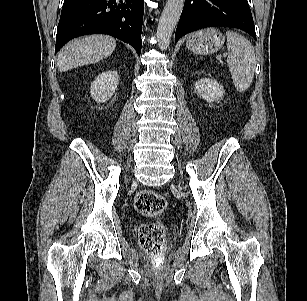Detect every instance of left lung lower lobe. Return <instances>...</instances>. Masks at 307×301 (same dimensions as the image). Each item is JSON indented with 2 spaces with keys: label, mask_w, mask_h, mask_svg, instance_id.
Instances as JSON below:
<instances>
[{
  "label": "left lung lower lobe",
  "mask_w": 307,
  "mask_h": 301,
  "mask_svg": "<svg viewBox=\"0 0 307 301\" xmlns=\"http://www.w3.org/2000/svg\"><path fill=\"white\" fill-rule=\"evenodd\" d=\"M210 26L239 28L256 39L247 0H185L175 41L191 31Z\"/></svg>",
  "instance_id": "left-lung-lower-lobe-1"
}]
</instances>
